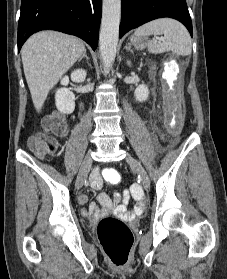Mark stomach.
Returning <instances> with one entry per match:
<instances>
[{
    "mask_svg": "<svg viewBox=\"0 0 227 279\" xmlns=\"http://www.w3.org/2000/svg\"><path fill=\"white\" fill-rule=\"evenodd\" d=\"M130 41L136 49H143L145 47L144 42L139 37L132 36Z\"/></svg>",
    "mask_w": 227,
    "mask_h": 279,
    "instance_id": "1",
    "label": "stomach"
}]
</instances>
